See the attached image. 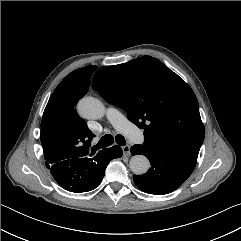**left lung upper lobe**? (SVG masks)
<instances>
[{"instance_id":"left-lung-upper-lobe-1","label":"left lung upper lobe","mask_w":241,"mask_h":241,"mask_svg":"<svg viewBox=\"0 0 241 241\" xmlns=\"http://www.w3.org/2000/svg\"><path fill=\"white\" fill-rule=\"evenodd\" d=\"M93 89L144 129V146L196 163L205 136L191 87L161 61L143 56L100 68Z\"/></svg>"}]
</instances>
